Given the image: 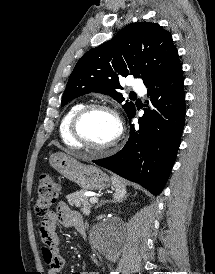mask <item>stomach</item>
Here are the masks:
<instances>
[{
    "label": "stomach",
    "mask_w": 215,
    "mask_h": 274,
    "mask_svg": "<svg viewBox=\"0 0 215 274\" xmlns=\"http://www.w3.org/2000/svg\"><path fill=\"white\" fill-rule=\"evenodd\" d=\"M50 165L56 169L61 175L70 181L76 183L83 190H103L110 186V178L99 168L93 165H85L77 161L75 158L58 152L50 156ZM123 194L119 199H122Z\"/></svg>",
    "instance_id": "0dacf381"
}]
</instances>
